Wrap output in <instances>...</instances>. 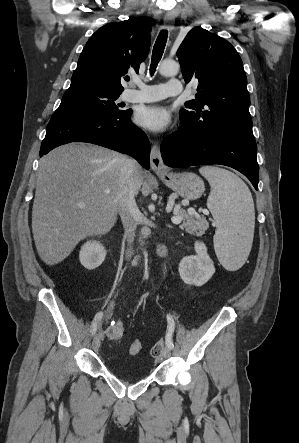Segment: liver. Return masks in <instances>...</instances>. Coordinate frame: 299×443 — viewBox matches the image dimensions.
I'll return each mask as SVG.
<instances>
[{
	"label": "liver",
	"instance_id": "obj_1",
	"mask_svg": "<svg viewBox=\"0 0 299 443\" xmlns=\"http://www.w3.org/2000/svg\"><path fill=\"white\" fill-rule=\"evenodd\" d=\"M126 159L117 152L82 143L60 146L41 158L32 233L43 262L60 263L80 240L105 234L114 226ZM143 179L144 172L138 166L135 194ZM79 203L84 207L80 208Z\"/></svg>",
	"mask_w": 299,
	"mask_h": 443
}]
</instances>
